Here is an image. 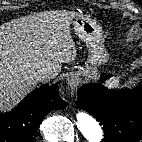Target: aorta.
Listing matches in <instances>:
<instances>
[{
	"mask_svg": "<svg viewBox=\"0 0 142 142\" xmlns=\"http://www.w3.org/2000/svg\"><path fill=\"white\" fill-rule=\"evenodd\" d=\"M79 126L83 136L89 142H100L103 138L101 126L92 118L83 116L79 122Z\"/></svg>",
	"mask_w": 142,
	"mask_h": 142,
	"instance_id": "762f6f07",
	"label": "aorta"
}]
</instances>
